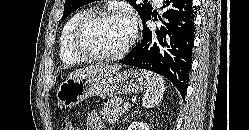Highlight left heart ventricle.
<instances>
[{
  "mask_svg": "<svg viewBox=\"0 0 249 130\" xmlns=\"http://www.w3.org/2000/svg\"><path fill=\"white\" fill-rule=\"evenodd\" d=\"M132 32L130 25L122 15L100 17L86 28L84 44L93 52L112 54L125 45Z\"/></svg>",
  "mask_w": 249,
  "mask_h": 130,
  "instance_id": "obj_1",
  "label": "left heart ventricle"
}]
</instances>
